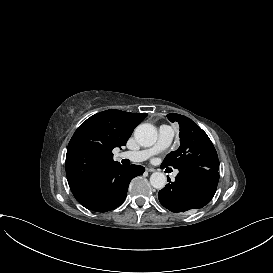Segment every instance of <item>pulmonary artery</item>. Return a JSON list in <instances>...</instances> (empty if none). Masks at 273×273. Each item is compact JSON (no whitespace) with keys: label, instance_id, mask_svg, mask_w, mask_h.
Wrapping results in <instances>:
<instances>
[{"label":"pulmonary artery","instance_id":"pulmonary-artery-1","mask_svg":"<svg viewBox=\"0 0 273 273\" xmlns=\"http://www.w3.org/2000/svg\"><path fill=\"white\" fill-rule=\"evenodd\" d=\"M160 133L163 138H160L157 140L156 145L160 149L167 148L172 145L173 141L177 138V133L175 130L171 129L168 126H164L161 128ZM149 156V153L145 149H137L132 151L123 150L119 153L118 158L120 161L125 162L127 160H145ZM177 171L173 173V175H176Z\"/></svg>","mask_w":273,"mask_h":273}]
</instances>
